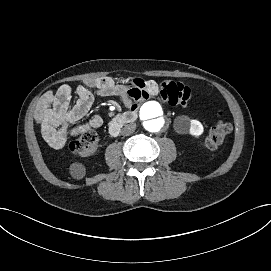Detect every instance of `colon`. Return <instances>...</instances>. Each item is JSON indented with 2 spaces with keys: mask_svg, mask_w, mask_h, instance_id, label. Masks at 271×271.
I'll list each match as a JSON object with an SVG mask.
<instances>
[{
  "mask_svg": "<svg viewBox=\"0 0 271 271\" xmlns=\"http://www.w3.org/2000/svg\"><path fill=\"white\" fill-rule=\"evenodd\" d=\"M221 115V111L216 112ZM232 130L230 123L226 121L217 122L209 131L203 141V146L215 149L222 145ZM70 149L75 156L85 157L94 155L98 150V136L95 131L90 130L82 134L70 144Z\"/></svg>",
  "mask_w": 271,
  "mask_h": 271,
  "instance_id": "colon-1",
  "label": "colon"
}]
</instances>
